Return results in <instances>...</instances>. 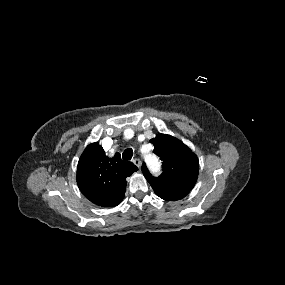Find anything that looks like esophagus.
Wrapping results in <instances>:
<instances>
[{
    "instance_id": "1",
    "label": "esophagus",
    "mask_w": 285,
    "mask_h": 285,
    "mask_svg": "<svg viewBox=\"0 0 285 285\" xmlns=\"http://www.w3.org/2000/svg\"><path fill=\"white\" fill-rule=\"evenodd\" d=\"M132 162H133L138 168L141 167V161H140V159L135 158V159L132 160Z\"/></svg>"
}]
</instances>
